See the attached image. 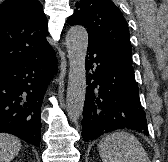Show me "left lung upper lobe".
Wrapping results in <instances>:
<instances>
[{
  "label": "left lung upper lobe",
  "instance_id": "obj_1",
  "mask_svg": "<svg viewBox=\"0 0 168 162\" xmlns=\"http://www.w3.org/2000/svg\"><path fill=\"white\" fill-rule=\"evenodd\" d=\"M67 23L87 28L92 40L131 62L129 29L120 9L111 0H79Z\"/></svg>",
  "mask_w": 168,
  "mask_h": 162
}]
</instances>
